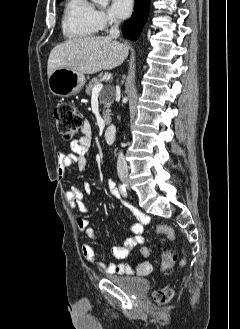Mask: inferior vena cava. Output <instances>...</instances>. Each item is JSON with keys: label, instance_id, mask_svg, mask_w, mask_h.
Listing matches in <instances>:
<instances>
[{"label": "inferior vena cava", "instance_id": "obj_1", "mask_svg": "<svg viewBox=\"0 0 240 329\" xmlns=\"http://www.w3.org/2000/svg\"><path fill=\"white\" fill-rule=\"evenodd\" d=\"M119 25H120V21L118 19H114L113 26L111 27L110 32H109V36H108L109 38H111V39L118 38V36L120 34ZM117 172L119 175H128L127 162H126L124 154L122 152H120L118 154Z\"/></svg>", "mask_w": 240, "mask_h": 329}]
</instances>
